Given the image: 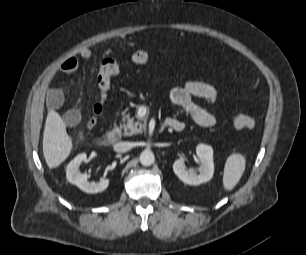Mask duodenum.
I'll return each instance as SVG.
<instances>
[{
	"instance_id": "1",
	"label": "duodenum",
	"mask_w": 306,
	"mask_h": 255,
	"mask_svg": "<svg viewBox=\"0 0 306 255\" xmlns=\"http://www.w3.org/2000/svg\"><path fill=\"white\" fill-rule=\"evenodd\" d=\"M167 127H172V123H170L169 121H165L159 128V130L162 132L164 131ZM121 137V133L120 130L117 128H113L111 130H109L106 134V138H105V142L107 144H114L116 142L119 141Z\"/></svg>"
}]
</instances>
